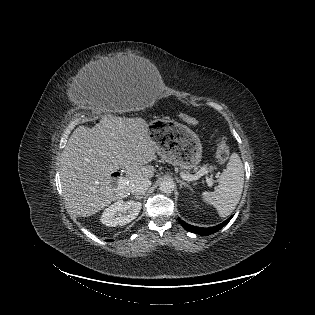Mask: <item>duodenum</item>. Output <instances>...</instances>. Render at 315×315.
Masks as SVG:
<instances>
[{"mask_svg":"<svg viewBox=\"0 0 315 315\" xmlns=\"http://www.w3.org/2000/svg\"><path fill=\"white\" fill-rule=\"evenodd\" d=\"M118 176V174H115V177H117Z\"/></svg>","mask_w":315,"mask_h":315,"instance_id":"obj_1","label":"duodenum"}]
</instances>
